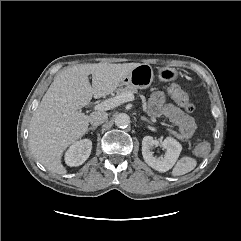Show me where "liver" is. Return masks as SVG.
Instances as JSON below:
<instances>
[{"instance_id": "1", "label": "liver", "mask_w": 241, "mask_h": 241, "mask_svg": "<svg viewBox=\"0 0 241 241\" xmlns=\"http://www.w3.org/2000/svg\"><path fill=\"white\" fill-rule=\"evenodd\" d=\"M139 64H79L60 72L30 121L29 146L34 157L49 171L66 174L63 152L86 133L89 125V116L78 110L92 97L98 99L114 92Z\"/></svg>"}]
</instances>
